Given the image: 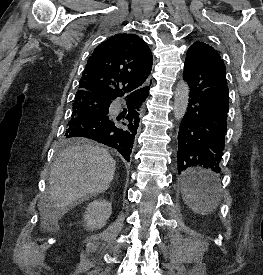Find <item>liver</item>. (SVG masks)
I'll return each instance as SVG.
<instances>
[{
    "label": "liver",
    "instance_id": "1",
    "mask_svg": "<svg viewBox=\"0 0 263 275\" xmlns=\"http://www.w3.org/2000/svg\"><path fill=\"white\" fill-rule=\"evenodd\" d=\"M115 169V160L103 148L89 144L67 148L53 165L48 202L39 207L42 226L57 227L77 201L105 192Z\"/></svg>",
    "mask_w": 263,
    "mask_h": 275
}]
</instances>
